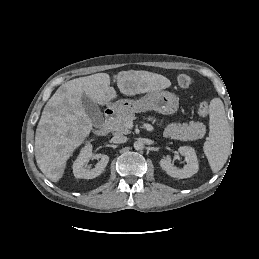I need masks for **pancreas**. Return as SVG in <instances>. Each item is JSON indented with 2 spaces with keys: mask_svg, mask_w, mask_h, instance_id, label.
I'll list each match as a JSON object with an SVG mask.
<instances>
[{
  "mask_svg": "<svg viewBox=\"0 0 259 259\" xmlns=\"http://www.w3.org/2000/svg\"><path fill=\"white\" fill-rule=\"evenodd\" d=\"M136 119V116L132 113L119 115L116 119L108 121L107 126L110 128L114 134L127 135L131 131L127 127V123ZM152 123H155L157 119L154 116L144 117ZM163 120L158 123L159 126L162 125ZM205 135V125L201 122L191 121L190 123H170L166 126L163 132V136L166 138L181 140V141H193L202 138Z\"/></svg>",
  "mask_w": 259,
  "mask_h": 259,
  "instance_id": "1",
  "label": "pancreas"
}]
</instances>
